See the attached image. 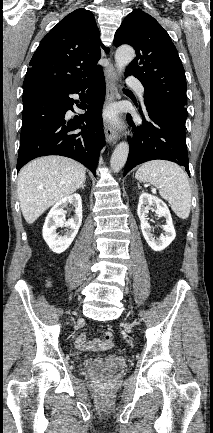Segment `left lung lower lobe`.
Instances as JSON below:
<instances>
[{
    "instance_id": "0a47b994",
    "label": "left lung lower lobe",
    "mask_w": 213,
    "mask_h": 433,
    "mask_svg": "<svg viewBox=\"0 0 213 433\" xmlns=\"http://www.w3.org/2000/svg\"><path fill=\"white\" fill-rule=\"evenodd\" d=\"M142 124L135 126L127 115L128 124L134 135L129 139L130 150L124 176L136 165L146 161L163 159L184 166L190 175L185 139L187 113L169 104L144 100Z\"/></svg>"
}]
</instances>
